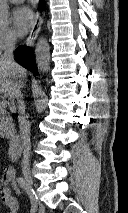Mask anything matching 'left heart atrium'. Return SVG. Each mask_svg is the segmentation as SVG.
Returning a JSON list of instances; mask_svg holds the SVG:
<instances>
[{
    "label": "left heart atrium",
    "mask_w": 128,
    "mask_h": 213,
    "mask_svg": "<svg viewBox=\"0 0 128 213\" xmlns=\"http://www.w3.org/2000/svg\"><path fill=\"white\" fill-rule=\"evenodd\" d=\"M11 21L14 32L22 37L27 34L33 25V13L26 6L17 7L12 12Z\"/></svg>",
    "instance_id": "1"
}]
</instances>
